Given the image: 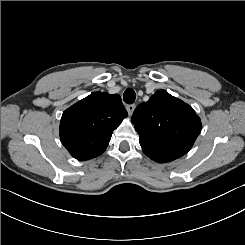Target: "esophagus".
I'll use <instances>...</instances> for the list:
<instances>
[{"label":"esophagus","mask_w":245,"mask_h":245,"mask_svg":"<svg viewBox=\"0 0 245 245\" xmlns=\"http://www.w3.org/2000/svg\"><path fill=\"white\" fill-rule=\"evenodd\" d=\"M126 109H127V112L129 114V116H131L133 114V112H134L135 104H129V105H127Z\"/></svg>","instance_id":"esophagus-1"}]
</instances>
